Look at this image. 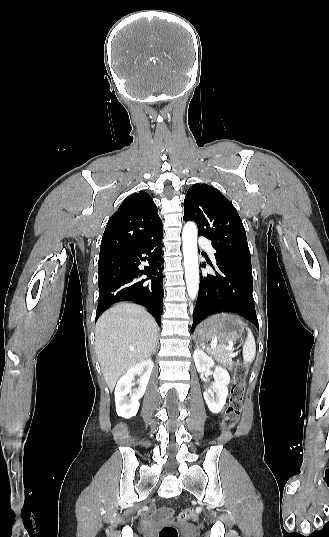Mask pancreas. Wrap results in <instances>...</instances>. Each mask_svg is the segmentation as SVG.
Instances as JSON below:
<instances>
[{
  "label": "pancreas",
  "instance_id": "cf45deb5",
  "mask_svg": "<svg viewBox=\"0 0 329 537\" xmlns=\"http://www.w3.org/2000/svg\"><path fill=\"white\" fill-rule=\"evenodd\" d=\"M209 354H211L216 361L222 363L224 366L232 368L233 362L230 354L220 349L209 350Z\"/></svg>",
  "mask_w": 329,
  "mask_h": 537
}]
</instances>
